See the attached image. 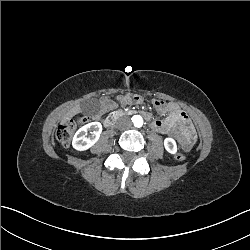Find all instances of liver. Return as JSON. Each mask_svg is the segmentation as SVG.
Masks as SVG:
<instances>
[{
    "mask_svg": "<svg viewBox=\"0 0 250 250\" xmlns=\"http://www.w3.org/2000/svg\"><path fill=\"white\" fill-rule=\"evenodd\" d=\"M77 108H79V106H76V107H74L73 109L69 110V111L66 113V115H65V117H64V120H68V119H70L72 116H74L75 114H77V112H78Z\"/></svg>",
    "mask_w": 250,
    "mask_h": 250,
    "instance_id": "6515ba94",
    "label": "liver"
}]
</instances>
